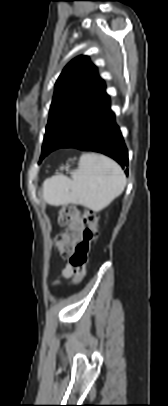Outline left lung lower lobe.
I'll use <instances>...</instances> for the list:
<instances>
[{
    "label": "left lung lower lobe",
    "instance_id": "1",
    "mask_svg": "<svg viewBox=\"0 0 168 406\" xmlns=\"http://www.w3.org/2000/svg\"><path fill=\"white\" fill-rule=\"evenodd\" d=\"M110 109L109 96H105L93 109L79 132L59 148H77L103 153L119 164L128 165V153L119 127ZM128 173V170H125Z\"/></svg>",
    "mask_w": 168,
    "mask_h": 406
}]
</instances>
